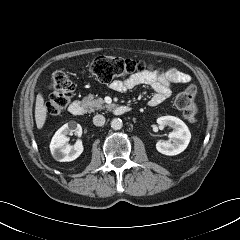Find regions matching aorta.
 Wrapping results in <instances>:
<instances>
[{"label": "aorta", "instance_id": "aorta-1", "mask_svg": "<svg viewBox=\"0 0 240 240\" xmlns=\"http://www.w3.org/2000/svg\"><path fill=\"white\" fill-rule=\"evenodd\" d=\"M123 126L122 120L120 118H114L111 121V127L114 130H120Z\"/></svg>", "mask_w": 240, "mask_h": 240}]
</instances>
